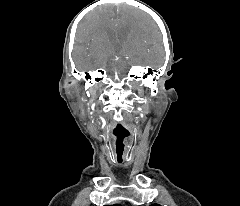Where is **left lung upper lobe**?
<instances>
[{
  "mask_svg": "<svg viewBox=\"0 0 240 206\" xmlns=\"http://www.w3.org/2000/svg\"><path fill=\"white\" fill-rule=\"evenodd\" d=\"M151 206H160V205H158V204H153V205H151Z\"/></svg>",
  "mask_w": 240,
  "mask_h": 206,
  "instance_id": "5c2ea615",
  "label": "left lung upper lobe"
}]
</instances>
